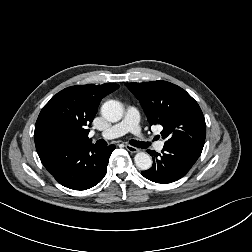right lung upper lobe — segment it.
I'll return each mask as SVG.
<instances>
[{
  "label": "right lung upper lobe",
  "mask_w": 252,
  "mask_h": 252,
  "mask_svg": "<svg viewBox=\"0 0 252 252\" xmlns=\"http://www.w3.org/2000/svg\"><path fill=\"white\" fill-rule=\"evenodd\" d=\"M118 87L117 84L76 85L54 95L42 108L35 124L38 155L61 143L90 144L87 127L101 99Z\"/></svg>",
  "instance_id": "1"
}]
</instances>
